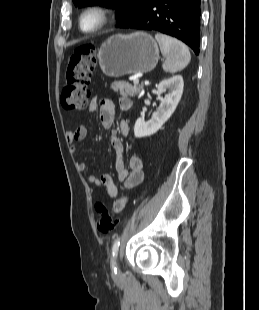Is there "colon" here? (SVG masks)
Listing matches in <instances>:
<instances>
[{
	"label": "colon",
	"mask_w": 259,
	"mask_h": 310,
	"mask_svg": "<svg viewBox=\"0 0 259 310\" xmlns=\"http://www.w3.org/2000/svg\"><path fill=\"white\" fill-rule=\"evenodd\" d=\"M96 67V50L91 44L76 47L67 56L66 83L61 95L62 105L71 110H83L89 103V84ZM98 230L107 234L117 226V219L103 202L96 203Z\"/></svg>",
	"instance_id": "colon-1"
}]
</instances>
